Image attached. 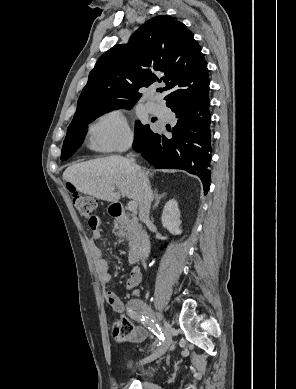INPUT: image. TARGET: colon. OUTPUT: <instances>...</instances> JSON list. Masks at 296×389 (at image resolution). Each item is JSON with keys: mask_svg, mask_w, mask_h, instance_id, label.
<instances>
[{"mask_svg": "<svg viewBox=\"0 0 296 389\" xmlns=\"http://www.w3.org/2000/svg\"><path fill=\"white\" fill-rule=\"evenodd\" d=\"M73 203L80 216L84 219H87L90 226L96 224L97 217L95 215V210L97 203L92 197L74 192ZM132 330L133 328L129 323L116 322L113 325L112 334L113 337L117 340H125L126 338H129Z\"/></svg>", "mask_w": 296, "mask_h": 389, "instance_id": "5ec220e1", "label": "colon"}]
</instances>
